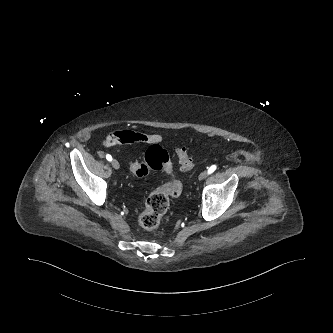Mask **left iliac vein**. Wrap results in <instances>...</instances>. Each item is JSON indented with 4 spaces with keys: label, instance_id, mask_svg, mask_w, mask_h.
I'll list each match as a JSON object with an SVG mask.
<instances>
[{
    "label": "left iliac vein",
    "instance_id": "obj_1",
    "mask_svg": "<svg viewBox=\"0 0 333 333\" xmlns=\"http://www.w3.org/2000/svg\"><path fill=\"white\" fill-rule=\"evenodd\" d=\"M207 175V172L206 171H202L199 176H198V179L201 181L203 180Z\"/></svg>",
    "mask_w": 333,
    "mask_h": 333
}]
</instances>
